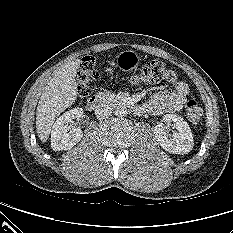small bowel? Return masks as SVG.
Segmentation results:
<instances>
[{
  "instance_id": "1",
  "label": "small bowel",
  "mask_w": 233,
  "mask_h": 233,
  "mask_svg": "<svg viewBox=\"0 0 233 233\" xmlns=\"http://www.w3.org/2000/svg\"><path fill=\"white\" fill-rule=\"evenodd\" d=\"M188 94L187 83L179 81L174 89L154 93L142 106L143 113L158 115L180 111L187 101Z\"/></svg>"
}]
</instances>
